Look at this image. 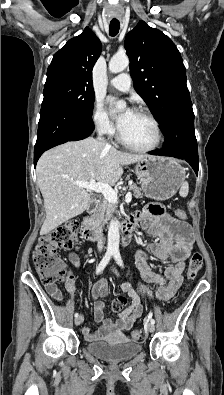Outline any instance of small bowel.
<instances>
[{
    "instance_id": "1",
    "label": "small bowel",
    "mask_w": 224,
    "mask_h": 395,
    "mask_svg": "<svg viewBox=\"0 0 224 395\" xmlns=\"http://www.w3.org/2000/svg\"><path fill=\"white\" fill-rule=\"evenodd\" d=\"M135 222H140L148 233L156 238L155 242L148 244L136 253V265L139 269L143 283L137 288L124 283L120 289L128 295L130 305L120 312L117 320L112 322L105 318L104 304L100 298L107 294V282L104 278L98 279L92 289L94 302V316L101 325L96 332L84 326L82 333L88 341L105 338L111 334L129 330L143 313V301L151 297L147 285H158L157 298L161 301L171 299L182 282L186 261L190 256L193 233L191 227L180 220L171 217L163 207L158 204H149L142 212L135 213ZM153 256L163 262H171L164 274L154 272L148 264V257ZM69 261L79 266V257L75 252L69 254ZM67 291L73 296L75 281L72 275L65 281ZM48 293L57 300L62 299V292L55 284H44Z\"/></svg>"
}]
</instances>
